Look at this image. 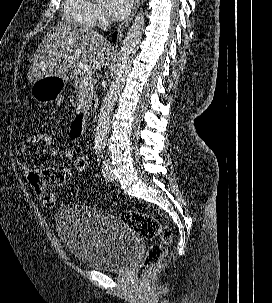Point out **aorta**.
Masks as SVG:
<instances>
[{
    "label": "aorta",
    "instance_id": "obj_1",
    "mask_svg": "<svg viewBox=\"0 0 272 303\" xmlns=\"http://www.w3.org/2000/svg\"><path fill=\"white\" fill-rule=\"evenodd\" d=\"M144 25V13L143 10H140L123 40L119 51L113 82L111 83L100 108L95 130V143L97 145H105L111 113L116 100L125 85L126 77L131 69L132 59L141 43Z\"/></svg>",
    "mask_w": 272,
    "mask_h": 303
}]
</instances>
